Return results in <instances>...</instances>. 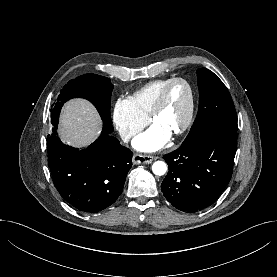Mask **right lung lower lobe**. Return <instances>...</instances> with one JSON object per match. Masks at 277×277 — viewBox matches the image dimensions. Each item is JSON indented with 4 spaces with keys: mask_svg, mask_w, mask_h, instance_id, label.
Returning a JSON list of instances; mask_svg holds the SVG:
<instances>
[{
    "mask_svg": "<svg viewBox=\"0 0 277 277\" xmlns=\"http://www.w3.org/2000/svg\"><path fill=\"white\" fill-rule=\"evenodd\" d=\"M60 110L51 113L52 132L47 136L48 165L55 187L74 208L97 213L113 204L123 190L132 166V152L110 135L104 122L101 136L85 149L63 144L57 136Z\"/></svg>",
    "mask_w": 277,
    "mask_h": 277,
    "instance_id": "right-lung-lower-lobe-1",
    "label": "right lung lower lobe"
}]
</instances>
